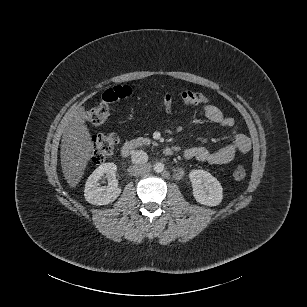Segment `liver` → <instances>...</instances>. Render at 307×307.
<instances>
[{
	"instance_id": "6515ba94",
	"label": "liver",
	"mask_w": 307,
	"mask_h": 307,
	"mask_svg": "<svg viewBox=\"0 0 307 307\" xmlns=\"http://www.w3.org/2000/svg\"><path fill=\"white\" fill-rule=\"evenodd\" d=\"M84 107H80L61 121V167L70 187L80 182L94 149L91 135L84 124L87 119Z\"/></svg>"
}]
</instances>
